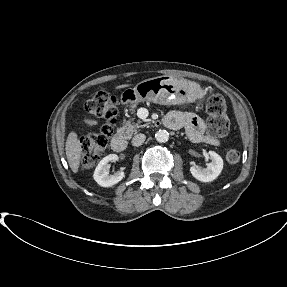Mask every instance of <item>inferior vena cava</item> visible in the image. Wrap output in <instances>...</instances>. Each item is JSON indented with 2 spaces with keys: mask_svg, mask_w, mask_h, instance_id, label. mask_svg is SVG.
Instances as JSON below:
<instances>
[{
  "mask_svg": "<svg viewBox=\"0 0 287 287\" xmlns=\"http://www.w3.org/2000/svg\"><path fill=\"white\" fill-rule=\"evenodd\" d=\"M145 139H146V136L144 134H141V133L137 134L132 139V145L136 147L141 146L144 143Z\"/></svg>",
  "mask_w": 287,
  "mask_h": 287,
  "instance_id": "1",
  "label": "inferior vena cava"
}]
</instances>
